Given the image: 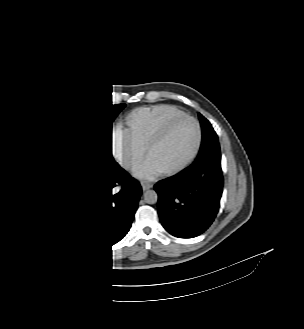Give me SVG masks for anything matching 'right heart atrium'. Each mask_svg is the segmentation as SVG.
Segmentation results:
<instances>
[{"mask_svg":"<svg viewBox=\"0 0 304 329\" xmlns=\"http://www.w3.org/2000/svg\"><path fill=\"white\" fill-rule=\"evenodd\" d=\"M113 148L121 159L129 163L132 167H136L143 161V153H140L135 160L131 139L125 131H116L114 133Z\"/></svg>","mask_w":304,"mask_h":329,"instance_id":"right-heart-atrium-1","label":"right heart atrium"}]
</instances>
